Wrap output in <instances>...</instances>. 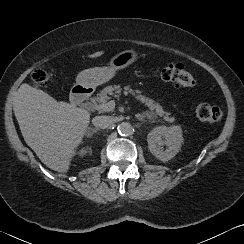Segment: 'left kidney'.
<instances>
[{
  "mask_svg": "<svg viewBox=\"0 0 244 244\" xmlns=\"http://www.w3.org/2000/svg\"><path fill=\"white\" fill-rule=\"evenodd\" d=\"M182 128L179 125L159 126L147 135L148 148L157 159L166 162L181 149L183 143ZM166 144V148L163 147Z\"/></svg>",
  "mask_w": 244,
  "mask_h": 244,
  "instance_id": "5707ae66",
  "label": "left kidney"
}]
</instances>
